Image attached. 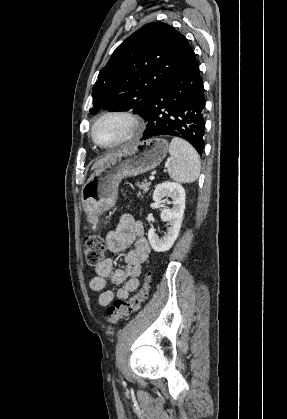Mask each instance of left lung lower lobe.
Here are the masks:
<instances>
[{"label": "left lung lower lobe", "mask_w": 287, "mask_h": 419, "mask_svg": "<svg viewBox=\"0 0 287 419\" xmlns=\"http://www.w3.org/2000/svg\"><path fill=\"white\" fill-rule=\"evenodd\" d=\"M204 107L203 81L196 60L153 97L145 116L148 123L141 140L160 135L180 137L190 142L202 154Z\"/></svg>", "instance_id": "obj_1"}]
</instances>
